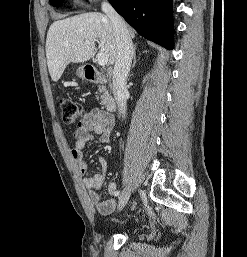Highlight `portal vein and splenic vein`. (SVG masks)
<instances>
[{
    "mask_svg": "<svg viewBox=\"0 0 247 257\" xmlns=\"http://www.w3.org/2000/svg\"><path fill=\"white\" fill-rule=\"evenodd\" d=\"M88 43H89V41H86V44H88ZM96 58H97V62H98V64H99L100 66H105V65H107V63H108V57H107L104 53L99 52V53L97 54Z\"/></svg>",
    "mask_w": 247,
    "mask_h": 257,
    "instance_id": "portal-vein-and-splenic-vein-1",
    "label": "portal vein and splenic vein"
}]
</instances>
